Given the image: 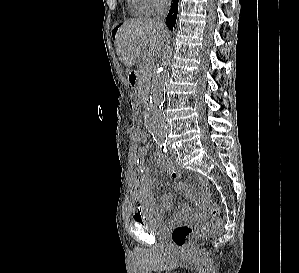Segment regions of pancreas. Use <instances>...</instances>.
I'll use <instances>...</instances> for the list:
<instances>
[{
  "instance_id": "pancreas-1",
  "label": "pancreas",
  "mask_w": 299,
  "mask_h": 273,
  "mask_svg": "<svg viewBox=\"0 0 299 273\" xmlns=\"http://www.w3.org/2000/svg\"><path fill=\"white\" fill-rule=\"evenodd\" d=\"M141 70H142V75L137 84V91H138V93H145L148 90L149 80H150L152 71L148 64H142Z\"/></svg>"
}]
</instances>
